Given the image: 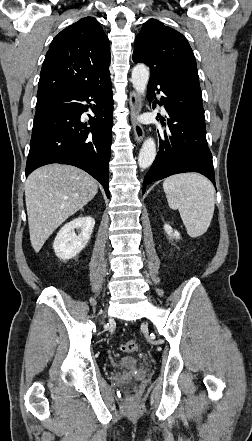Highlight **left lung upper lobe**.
<instances>
[{"label":"left lung upper lobe","mask_w":252,"mask_h":441,"mask_svg":"<svg viewBox=\"0 0 252 441\" xmlns=\"http://www.w3.org/2000/svg\"><path fill=\"white\" fill-rule=\"evenodd\" d=\"M133 61L150 67V79L179 78L201 93L196 60L188 41L158 20L143 24L135 39Z\"/></svg>","instance_id":"left-lung-upper-lobe-1"}]
</instances>
